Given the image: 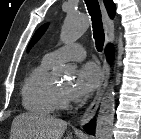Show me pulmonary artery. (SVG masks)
<instances>
[{
    "instance_id": "e3ab8cb5",
    "label": "pulmonary artery",
    "mask_w": 141,
    "mask_h": 139,
    "mask_svg": "<svg viewBox=\"0 0 141 139\" xmlns=\"http://www.w3.org/2000/svg\"><path fill=\"white\" fill-rule=\"evenodd\" d=\"M86 57V51L80 44H68L47 53L44 58L53 64L65 61H80Z\"/></svg>"
}]
</instances>
